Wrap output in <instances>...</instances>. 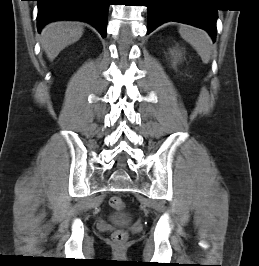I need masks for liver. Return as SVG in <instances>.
Wrapping results in <instances>:
<instances>
[{
	"mask_svg": "<svg viewBox=\"0 0 259 266\" xmlns=\"http://www.w3.org/2000/svg\"><path fill=\"white\" fill-rule=\"evenodd\" d=\"M81 23L58 21L44 27L41 33V45L48 59L53 61L67 46L77 42L82 34Z\"/></svg>",
	"mask_w": 259,
	"mask_h": 266,
	"instance_id": "1",
	"label": "liver"
}]
</instances>
